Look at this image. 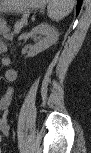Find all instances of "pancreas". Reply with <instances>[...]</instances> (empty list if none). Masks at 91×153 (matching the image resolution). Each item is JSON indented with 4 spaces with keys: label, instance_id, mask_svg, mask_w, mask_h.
Returning <instances> with one entry per match:
<instances>
[{
    "label": "pancreas",
    "instance_id": "obj_1",
    "mask_svg": "<svg viewBox=\"0 0 91 153\" xmlns=\"http://www.w3.org/2000/svg\"><path fill=\"white\" fill-rule=\"evenodd\" d=\"M28 13L27 12L22 18L20 21H18L16 24H15V33H19L20 32V29L25 26L27 24V17H28Z\"/></svg>",
    "mask_w": 91,
    "mask_h": 153
}]
</instances>
